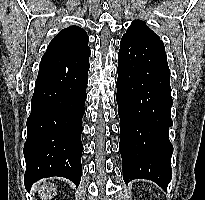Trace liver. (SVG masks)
Wrapping results in <instances>:
<instances>
[{"mask_svg": "<svg viewBox=\"0 0 205 200\" xmlns=\"http://www.w3.org/2000/svg\"><path fill=\"white\" fill-rule=\"evenodd\" d=\"M37 191L39 192L42 200H45L47 198H51L52 196L57 195L56 187L54 185H48L46 182L43 183V185H39L37 187Z\"/></svg>", "mask_w": 205, "mask_h": 200, "instance_id": "1", "label": "liver"}]
</instances>
